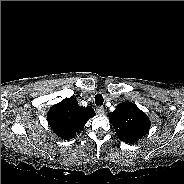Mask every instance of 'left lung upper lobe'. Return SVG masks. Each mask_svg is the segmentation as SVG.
<instances>
[{
    "mask_svg": "<svg viewBox=\"0 0 184 184\" xmlns=\"http://www.w3.org/2000/svg\"><path fill=\"white\" fill-rule=\"evenodd\" d=\"M108 115L117 136L126 143L141 139L148 133L151 125L148 116L129 101L118 104Z\"/></svg>",
    "mask_w": 184,
    "mask_h": 184,
    "instance_id": "left-lung-upper-lobe-1",
    "label": "left lung upper lobe"
}]
</instances>
